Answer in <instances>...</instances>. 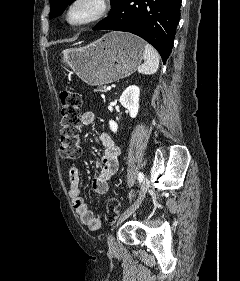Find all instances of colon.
Returning a JSON list of instances; mask_svg holds the SVG:
<instances>
[{"mask_svg": "<svg viewBox=\"0 0 240 281\" xmlns=\"http://www.w3.org/2000/svg\"><path fill=\"white\" fill-rule=\"evenodd\" d=\"M61 101V144L59 153L66 161H76L80 154L79 145L81 132V95L71 88L60 93ZM119 214V202L111 198L106 207L107 220L112 222Z\"/></svg>", "mask_w": 240, "mask_h": 281, "instance_id": "1", "label": "colon"}]
</instances>
